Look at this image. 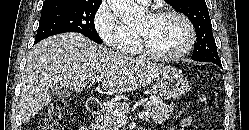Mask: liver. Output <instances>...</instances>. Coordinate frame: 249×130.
Listing matches in <instances>:
<instances>
[{
  "mask_svg": "<svg viewBox=\"0 0 249 130\" xmlns=\"http://www.w3.org/2000/svg\"><path fill=\"white\" fill-rule=\"evenodd\" d=\"M171 70L97 45L78 33L55 35L36 44L28 54L20 82L21 120L28 122L47 106L58 86L77 92L100 79L105 91L124 93L147 86Z\"/></svg>",
  "mask_w": 249,
  "mask_h": 130,
  "instance_id": "1",
  "label": "liver"
}]
</instances>
